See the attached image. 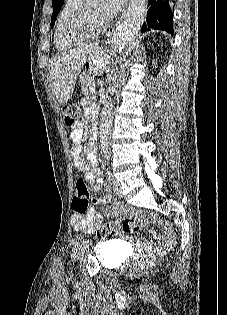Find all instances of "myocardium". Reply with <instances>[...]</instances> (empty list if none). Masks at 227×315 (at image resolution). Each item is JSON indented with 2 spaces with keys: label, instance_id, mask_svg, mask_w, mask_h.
Masks as SVG:
<instances>
[{
  "label": "myocardium",
  "instance_id": "obj_1",
  "mask_svg": "<svg viewBox=\"0 0 227 315\" xmlns=\"http://www.w3.org/2000/svg\"><path fill=\"white\" fill-rule=\"evenodd\" d=\"M88 3L89 0H80L66 18L62 33L68 43L79 44L99 35L106 29V23L97 27H90L86 24Z\"/></svg>",
  "mask_w": 227,
  "mask_h": 315
}]
</instances>
